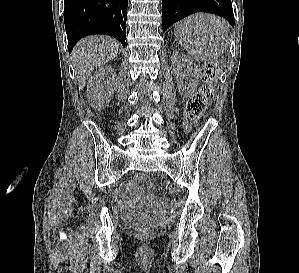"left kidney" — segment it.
Instances as JSON below:
<instances>
[{
	"label": "left kidney",
	"mask_w": 299,
	"mask_h": 273,
	"mask_svg": "<svg viewBox=\"0 0 299 273\" xmlns=\"http://www.w3.org/2000/svg\"><path fill=\"white\" fill-rule=\"evenodd\" d=\"M171 59L179 91L186 97L192 95L197 89L199 82L197 65L192 59L179 54L177 51L173 52Z\"/></svg>",
	"instance_id": "obj_1"
}]
</instances>
